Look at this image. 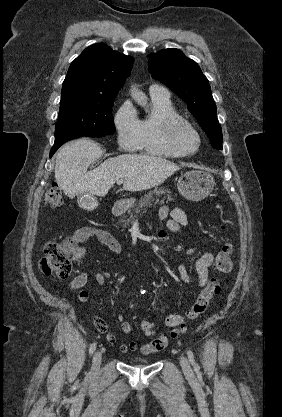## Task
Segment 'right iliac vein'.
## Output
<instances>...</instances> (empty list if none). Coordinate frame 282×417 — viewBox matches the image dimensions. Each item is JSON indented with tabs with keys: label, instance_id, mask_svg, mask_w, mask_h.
Instances as JSON below:
<instances>
[{
	"label": "right iliac vein",
	"instance_id": "right-iliac-vein-1",
	"mask_svg": "<svg viewBox=\"0 0 282 417\" xmlns=\"http://www.w3.org/2000/svg\"><path fill=\"white\" fill-rule=\"evenodd\" d=\"M101 360H102V353L100 351H96L92 359V371L93 372H96L99 369Z\"/></svg>",
	"mask_w": 282,
	"mask_h": 417
}]
</instances>
